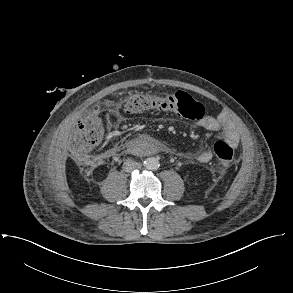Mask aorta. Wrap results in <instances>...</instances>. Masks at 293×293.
Wrapping results in <instances>:
<instances>
[{
	"label": "aorta",
	"mask_w": 293,
	"mask_h": 293,
	"mask_svg": "<svg viewBox=\"0 0 293 293\" xmlns=\"http://www.w3.org/2000/svg\"><path fill=\"white\" fill-rule=\"evenodd\" d=\"M145 168L149 170H156L159 168V161L154 157H149L144 161Z\"/></svg>",
	"instance_id": "762f6f07"
}]
</instances>
